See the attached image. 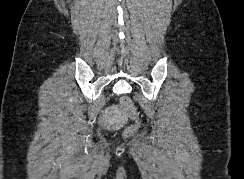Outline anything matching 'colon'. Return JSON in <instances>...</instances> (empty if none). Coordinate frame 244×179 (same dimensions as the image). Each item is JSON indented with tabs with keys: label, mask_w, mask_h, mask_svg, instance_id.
<instances>
[{
	"label": "colon",
	"mask_w": 244,
	"mask_h": 179,
	"mask_svg": "<svg viewBox=\"0 0 244 179\" xmlns=\"http://www.w3.org/2000/svg\"><path fill=\"white\" fill-rule=\"evenodd\" d=\"M119 101H121V104H123L124 107H126L128 115H132L133 121H136L137 125H129L126 129V132L124 133V138H134V133L140 132V117L141 112H139L138 107H133L134 103L131 99L128 98V96H119Z\"/></svg>",
	"instance_id": "colon-1"
}]
</instances>
